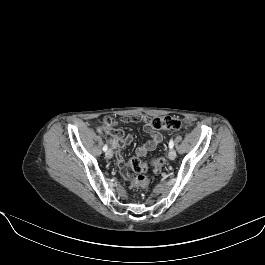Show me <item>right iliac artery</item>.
I'll list each match as a JSON object with an SVG mask.
<instances>
[{"instance_id": "right-iliac-artery-1", "label": "right iliac artery", "mask_w": 265, "mask_h": 265, "mask_svg": "<svg viewBox=\"0 0 265 265\" xmlns=\"http://www.w3.org/2000/svg\"><path fill=\"white\" fill-rule=\"evenodd\" d=\"M107 149H108V146H107V144H105L103 147V151L105 152V151H107Z\"/></svg>"}]
</instances>
